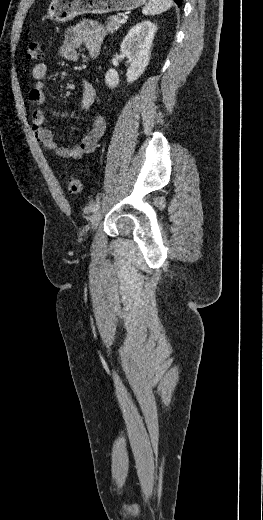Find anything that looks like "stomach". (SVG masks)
<instances>
[{"mask_svg": "<svg viewBox=\"0 0 263 520\" xmlns=\"http://www.w3.org/2000/svg\"><path fill=\"white\" fill-rule=\"evenodd\" d=\"M146 0H52L47 18L67 22L83 14H106L140 7Z\"/></svg>", "mask_w": 263, "mask_h": 520, "instance_id": "stomach-1", "label": "stomach"}]
</instances>
